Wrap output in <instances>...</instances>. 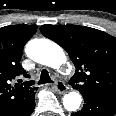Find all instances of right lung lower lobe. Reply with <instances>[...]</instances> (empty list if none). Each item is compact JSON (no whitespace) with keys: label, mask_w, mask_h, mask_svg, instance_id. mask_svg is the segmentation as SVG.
<instances>
[{"label":"right lung lower lobe","mask_w":116,"mask_h":116,"mask_svg":"<svg viewBox=\"0 0 116 116\" xmlns=\"http://www.w3.org/2000/svg\"><path fill=\"white\" fill-rule=\"evenodd\" d=\"M34 108H35V101H33V102L31 103V105H30L29 107H27V108L22 112V114H20V116H30L31 113L33 112Z\"/></svg>","instance_id":"98d812e1"}]
</instances>
